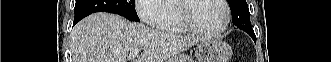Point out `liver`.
Listing matches in <instances>:
<instances>
[{"label": "liver", "instance_id": "liver-1", "mask_svg": "<svg viewBox=\"0 0 331 62\" xmlns=\"http://www.w3.org/2000/svg\"><path fill=\"white\" fill-rule=\"evenodd\" d=\"M201 40L99 12L74 27L71 52L73 62H127V54L140 49L134 62H164Z\"/></svg>", "mask_w": 331, "mask_h": 62}]
</instances>
